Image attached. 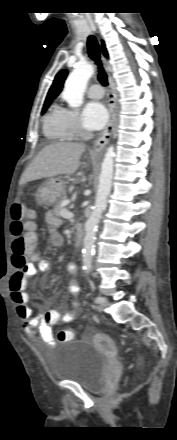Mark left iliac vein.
I'll use <instances>...</instances> for the list:
<instances>
[{"label":"left iliac vein","instance_id":"4c4485c4","mask_svg":"<svg viewBox=\"0 0 177 440\" xmlns=\"http://www.w3.org/2000/svg\"><path fill=\"white\" fill-rule=\"evenodd\" d=\"M103 301L101 303H99V305L97 306V309L102 312L104 310V308L107 306L108 301L106 298L102 297Z\"/></svg>","mask_w":177,"mask_h":440}]
</instances>
